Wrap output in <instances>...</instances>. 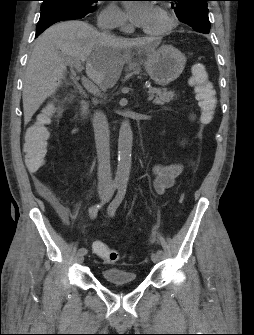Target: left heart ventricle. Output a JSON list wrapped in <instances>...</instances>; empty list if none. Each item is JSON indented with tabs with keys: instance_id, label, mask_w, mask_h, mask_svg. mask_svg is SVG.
Returning <instances> with one entry per match:
<instances>
[{
	"instance_id": "left-heart-ventricle-1",
	"label": "left heart ventricle",
	"mask_w": 254,
	"mask_h": 335,
	"mask_svg": "<svg viewBox=\"0 0 254 335\" xmlns=\"http://www.w3.org/2000/svg\"><path fill=\"white\" fill-rule=\"evenodd\" d=\"M165 25V20L163 17L155 10L152 20L147 28L148 31H157L163 28Z\"/></svg>"
}]
</instances>
